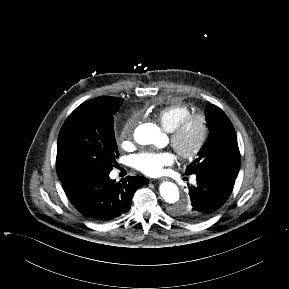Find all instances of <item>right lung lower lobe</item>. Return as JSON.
<instances>
[{"mask_svg": "<svg viewBox=\"0 0 289 289\" xmlns=\"http://www.w3.org/2000/svg\"><path fill=\"white\" fill-rule=\"evenodd\" d=\"M147 183L148 180L141 176H128L125 182L116 183L108 174L63 183V188L84 217L103 222L127 213L134 192Z\"/></svg>", "mask_w": 289, "mask_h": 289, "instance_id": "right-lung-lower-lobe-1", "label": "right lung lower lobe"}]
</instances>
